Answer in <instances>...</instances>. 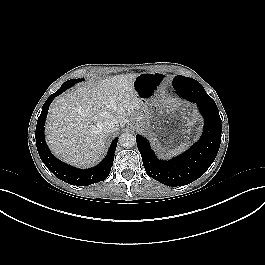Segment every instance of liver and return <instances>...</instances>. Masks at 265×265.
<instances>
[{"instance_id":"1","label":"liver","mask_w":265,"mask_h":265,"mask_svg":"<svg viewBox=\"0 0 265 265\" xmlns=\"http://www.w3.org/2000/svg\"><path fill=\"white\" fill-rule=\"evenodd\" d=\"M138 74L105 78L77 87L57 97L46 123L51 151L64 162L80 168L98 163L106 151L108 134L101 123L117 122V131L129 121L144 118V103L134 88Z\"/></svg>"}]
</instances>
